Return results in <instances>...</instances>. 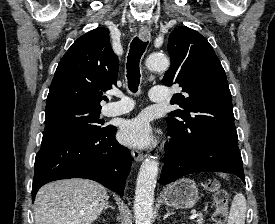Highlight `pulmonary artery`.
Here are the masks:
<instances>
[{"instance_id": "pulmonary-artery-1", "label": "pulmonary artery", "mask_w": 275, "mask_h": 224, "mask_svg": "<svg viewBox=\"0 0 275 224\" xmlns=\"http://www.w3.org/2000/svg\"><path fill=\"white\" fill-rule=\"evenodd\" d=\"M149 96L153 102L164 101L167 97V88L154 87L150 90ZM132 107L133 101L126 96H121L119 101L111 102L106 105L104 114L106 116H117L129 112Z\"/></svg>"}]
</instances>
